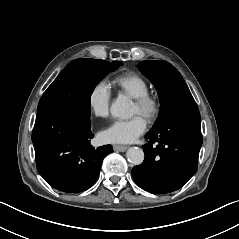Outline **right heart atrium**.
<instances>
[{"mask_svg":"<svg viewBox=\"0 0 239 239\" xmlns=\"http://www.w3.org/2000/svg\"><path fill=\"white\" fill-rule=\"evenodd\" d=\"M111 97V89L106 83L102 81L95 83L87 94L90 113L97 118L106 116L109 112Z\"/></svg>","mask_w":239,"mask_h":239,"instance_id":"1","label":"right heart atrium"}]
</instances>
